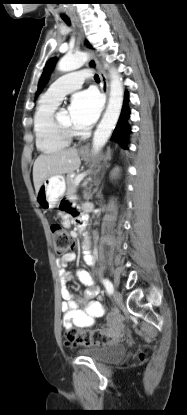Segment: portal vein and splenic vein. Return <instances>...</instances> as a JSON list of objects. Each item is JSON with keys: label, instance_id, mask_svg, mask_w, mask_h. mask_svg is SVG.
Returning a JSON list of instances; mask_svg holds the SVG:
<instances>
[{"label": "portal vein and splenic vein", "instance_id": "18ae733b", "mask_svg": "<svg viewBox=\"0 0 187 415\" xmlns=\"http://www.w3.org/2000/svg\"><path fill=\"white\" fill-rule=\"evenodd\" d=\"M85 176H86L85 172L77 175L76 178H75V185H78L83 180V178Z\"/></svg>", "mask_w": 187, "mask_h": 415}]
</instances>
